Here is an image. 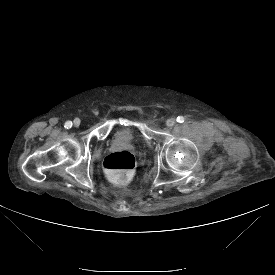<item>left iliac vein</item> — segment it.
<instances>
[{"label": "left iliac vein", "mask_w": 275, "mask_h": 275, "mask_svg": "<svg viewBox=\"0 0 275 275\" xmlns=\"http://www.w3.org/2000/svg\"><path fill=\"white\" fill-rule=\"evenodd\" d=\"M175 123H176V119H175V118H169V119L166 121V125H167L168 127L174 126Z\"/></svg>", "instance_id": "4c4485c4"}]
</instances>
